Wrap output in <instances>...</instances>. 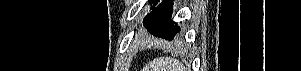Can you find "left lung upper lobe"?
Masks as SVG:
<instances>
[{
  "instance_id": "5c2ea615",
  "label": "left lung upper lobe",
  "mask_w": 301,
  "mask_h": 71,
  "mask_svg": "<svg viewBox=\"0 0 301 71\" xmlns=\"http://www.w3.org/2000/svg\"><path fill=\"white\" fill-rule=\"evenodd\" d=\"M158 2H159V0H156V1L154 2V5L152 6V8L155 7V5L158 4Z\"/></svg>"
}]
</instances>
